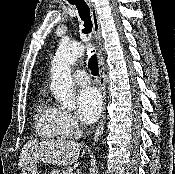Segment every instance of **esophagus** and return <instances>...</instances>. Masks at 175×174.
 Returning <instances> with one entry per match:
<instances>
[{
  "mask_svg": "<svg viewBox=\"0 0 175 174\" xmlns=\"http://www.w3.org/2000/svg\"><path fill=\"white\" fill-rule=\"evenodd\" d=\"M86 3L89 6L90 9V14H91V19L93 23V33H94V39L97 44V61H98V68H99V86L100 90L103 94V99L106 102V81H105V65H104V59L101 53V27L99 23V18L97 14L96 7L94 3L91 0H86ZM105 104V103H104ZM105 112L102 115V118L99 122V125L95 131L94 138H93V143L97 142L104 130V125H105Z\"/></svg>",
  "mask_w": 175,
  "mask_h": 174,
  "instance_id": "34e87169",
  "label": "esophagus"
}]
</instances>
